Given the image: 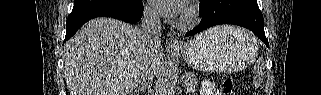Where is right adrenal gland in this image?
<instances>
[{
    "mask_svg": "<svg viewBox=\"0 0 321 95\" xmlns=\"http://www.w3.org/2000/svg\"><path fill=\"white\" fill-rule=\"evenodd\" d=\"M144 90H145V88L140 87V88H136V90L134 92L137 94V92H143Z\"/></svg>",
    "mask_w": 321,
    "mask_h": 95,
    "instance_id": "1",
    "label": "right adrenal gland"
}]
</instances>
